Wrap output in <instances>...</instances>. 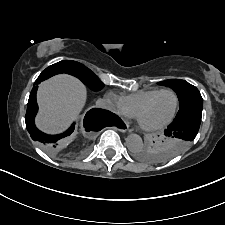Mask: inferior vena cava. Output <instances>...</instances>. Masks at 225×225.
<instances>
[{"label":"inferior vena cava","mask_w":225,"mask_h":225,"mask_svg":"<svg viewBox=\"0 0 225 225\" xmlns=\"http://www.w3.org/2000/svg\"><path fill=\"white\" fill-rule=\"evenodd\" d=\"M96 106L98 108L107 109V110H111L113 108L112 102L108 99H98L96 102Z\"/></svg>","instance_id":"602c4592"}]
</instances>
